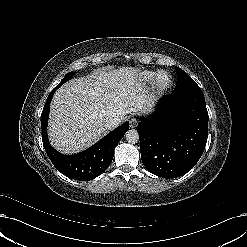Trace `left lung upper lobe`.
Here are the masks:
<instances>
[{
  "label": "left lung upper lobe",
  "instance_id": "5c2ea615",
  "mask_svg": "<svg viewBox=\"0 0 247 247\" xmlns=\"http://www.w3.org/2000/svg\"><path fill=\"white\" fill-rule=\"evenodd\" d=\"M178 83L175 92H185L194 88H200L197 83L182 69L177 68Z\"/></svg>",
  "mask_w": 247,
  "mask_h": 247
}]
</instances>
